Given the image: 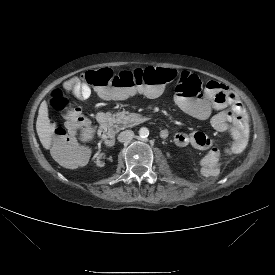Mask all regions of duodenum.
Returning a JSON list of instances; mask_svg holds the SVG:
<instances>
[{
    "instance_id": "410a0bca",
    "label": "duodenum",
    "mask_w": 275,
    "mask_h": 275,
    "mask_svg": "<svg viewBox=\"0 0 275 275\" xmlns=\"http://www.w3.org/2000/svg\"><path fill=\"white\" fill-rule=\"evenodd\" d=\"M99 121L101 123V134L103 136L104 142L107 146L111 147L114 144L115 134H114V122L111 116L106 114L99 115ZM167 136V131H161V137L165 138Z\"/></svg>"
}]
</instances>
